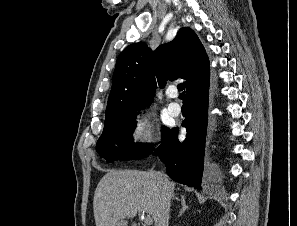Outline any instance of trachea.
Returning a JSON list of instances; mask_svg holds the SVG:
<instances>
[{
  "label": "trachea",
  "mask_w": 297,
  "mask_h": 226,
  "mask_svg": "<svg viewBox=\"0 0 297 226\" xmlns=\"http://www.w3.org/2000/svg\"><path fill=\"white\" fill-rule=\"evenodd\" d=\"M179 98L183 101V104H184V105L187 104V99H186L185 91H183V92L179 95Z\"/></svg>",
  "instance_id": "3493384b"
}]
</instances>
